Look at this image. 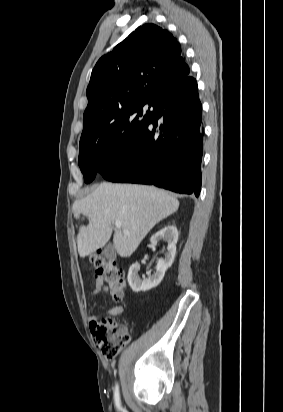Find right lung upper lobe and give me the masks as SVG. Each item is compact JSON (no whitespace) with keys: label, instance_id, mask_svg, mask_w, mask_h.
<instances>
[{"label":"right lung upper lobe","instance_id":"cb5924a9","mask_svg":"<svg viewBox=\"0 0 283 412\" xmlns=\"http://www.w3.org/2000/svg\"><path fill=\"white\" fill-rule=\"evenodd\" d=\"M189 73L172 34L154 24L138 27L95 65L81 138L102 132L134 105L159 103Z\"/></svg>","mask_w":283,"mask_h":412}]
</instances>
